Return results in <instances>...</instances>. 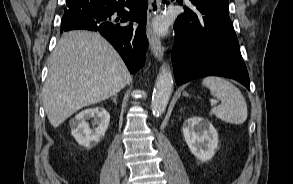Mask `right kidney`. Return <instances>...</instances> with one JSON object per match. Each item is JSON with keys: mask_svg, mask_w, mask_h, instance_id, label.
Listing matches in <instances>:
<instances>
[{"mask_svg": "<svg viewBox=\"0 0 293 184\" xmlns=\"http://www.w3.org/2000/svg\"><path fill=\"white\" fill-rule=\"evenodd\" d=\"M94 118L93 128L88 120ZM110 114L102 107L86 109L70 121L71 134L81 146L90 148L101 141L108 128Z\"/></svg>", "mask_w": 293, "mask_h": 184, "instance_id": "1", "label": "right kidney"}]
</instances>
